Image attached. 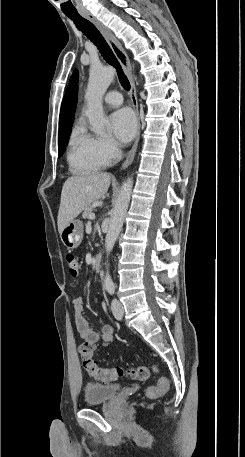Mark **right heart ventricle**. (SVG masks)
Listing matches in <instances>:
<instances>
[{"label": "right heart ventricle", "mask_w": 245, "mask_h": 457, "mask_svg": "<svg viewBox=\"0 0 245 457\" xmlns=\"http://www.w3.org/2000/svg\"><path fill=\"white\" fill-rule=\"evenodd\" d=\"M70 159L86 170H99L107 164L95 151L85 128L79 124L73 127L70 135Z\"/></svg>", "instance_id": "obj_1"}]
</instances>
